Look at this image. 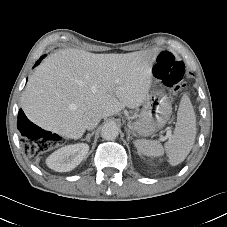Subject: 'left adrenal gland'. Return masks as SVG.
Returning a JSON list of instances; mask_svg holds the SVG:
<instances>
[{
    "label": "left adrenal gland",
    "instance_id": "1",
    "mask_svg": "<svg viewBox=\"0 0 227 227\" xmlns=\"http://www.w3.org/2000/svg\"><path fill=\"white\" fill-rule=\"evenodd\" d=\"M127 134H128V139H132V137L130 136V132L129 131L127 132Z\"/></svg>",
    "mask_w": 227,
    "mask_h": 227
}]
</instances>
